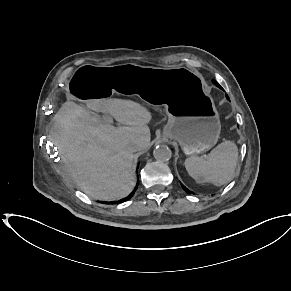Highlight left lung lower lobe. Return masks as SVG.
Returning <instances> with one entry per match:
<instances>
[{
	"mask_svg": "<svg viewBox=\"0 0 291 291\" xmlns=\"http://www.w3.org/2000/svg\"><path fill=\"white\" fill-rule=\"evenodd\" d=\"M219 88H221L222 90H223V88L219 85ZM226 98L227 99H229V97L228 96H226ZM182 185V188L186 191V193H188V194H191V193H193V192H191L190 190H188L183 184H181ZM194 194V193H193Z\"/></svg>",
	"mask_w": 291,
	"mask_h": 291,
	"instance_id": "obj_1",
	"label": "left lung lower lobe"
}]
</instances>
